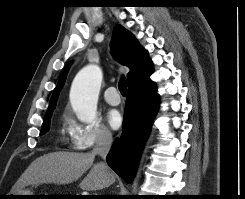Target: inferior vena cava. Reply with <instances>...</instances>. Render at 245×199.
<instances>
[{
	"instance_id": "1",
	"label": "inferior vena cava",
	"mask_w": 245,
	"mask_h": 199,
	"mask_svg": "<svg viewBox=\"0 0 245 199\" xmlns=\"http://www.w3.org/2000/svg\"><path fill=\"white\" fill-rule=\"evenodd\" d=\"M112 144V134L108 130H102L98 133L96 145L92 150V155H99L103 159L106 158ZM103 168H107L105 163H100Z\"/></svg>"
}]
</instances>
